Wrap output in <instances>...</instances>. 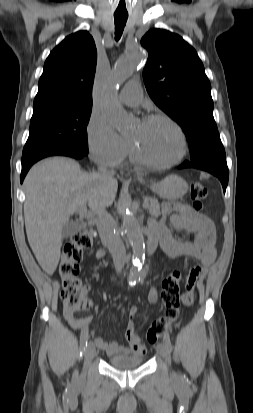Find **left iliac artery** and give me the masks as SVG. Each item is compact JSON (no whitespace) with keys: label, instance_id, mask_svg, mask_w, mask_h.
<instances>
[{"label":"left iliac artery","instance_id":"left-iliac-artery-1","mask_svg":"<svg viewBox=\"0 0 253 413\" xmlns=\"http://www.w3.org/2000/svg\"><path fill=\"white\" fill-rule=\"evenodd\" d=\"M163 341H164V344L170 349L171 348V340H170V336H169L168 333H166L164 335Z\"/></svg>","mask_w":253,"mask_h":413}]
</instances>
